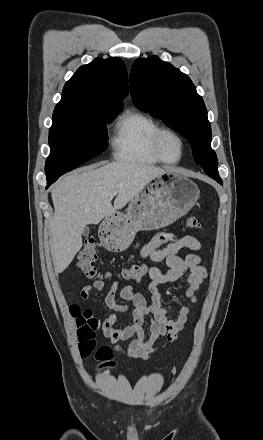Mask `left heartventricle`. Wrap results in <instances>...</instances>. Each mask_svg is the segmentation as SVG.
<instances>
[{
	"label": "left heart ventricle",
	"mask_w": 263,
	"mask_h": 440,
	"mask_svg": "<svg viewBox=\"0 0 263 440\" xmlns=\"http://www.w3.org/2000/svg\"><path fill=\"white\" fill-rule=\"evenodd\" d=\"M160 148L163 156L169 161H174L180 156V143L178 139L171 134H164L162 136Z\"/></svg>",
	"instance_id": "1"
}]
</instances>
